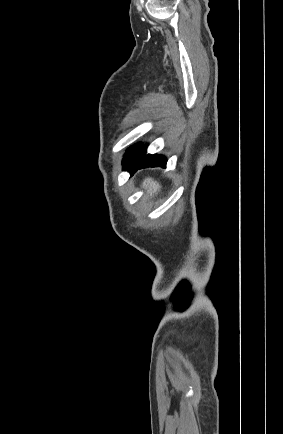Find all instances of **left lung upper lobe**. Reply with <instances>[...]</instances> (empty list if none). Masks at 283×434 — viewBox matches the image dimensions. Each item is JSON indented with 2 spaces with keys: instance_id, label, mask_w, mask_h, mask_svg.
Masks as SVG:
<instances>
[{
  "instance_id": "1",
  "label": "left lung upper lobe",
  "mask_w": 283,
  "mask_h": 434,
  "mask_svg": "<svg viewBox=\"0 0 283 434\" xmlns=\"http://www.w3.org/2000/svg\"><path fill=\"white\" fill-rule=\"evenodd\" d=\"M146 145H143L142 143H139L135 146L130 147V149H128V152L126 153L123 163L126 162H130L134 159H137L139 157H142L145 155V151H146Z\"/></svg>"
}]
</instances>
